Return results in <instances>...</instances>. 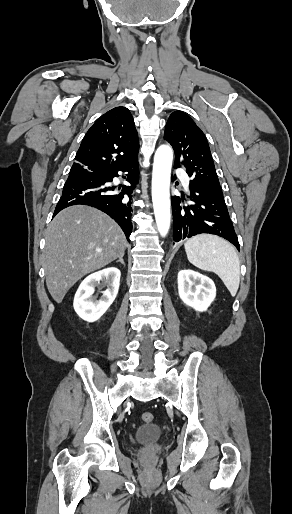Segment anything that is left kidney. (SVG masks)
I'll use <instances>...</instances> for the list:
<instances>
[{"mask_svg": "<svg viewBox=\"0 0 292 514\" xmlns=\"http://www.w3.org/2000/svg\"><path fill=\"white\" fill-rule=\"evenodd\" d=\"M178 292L182 302L197 312H205L216 296L214 282L193 270L179 272Z\"/></svg>", "mask_w": 292, "mask_h": 514, "instance_id": "1", "label": "left kidney"}]
</instances>
